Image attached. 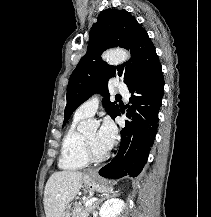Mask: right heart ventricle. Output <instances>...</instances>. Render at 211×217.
Wrapping results in <instances>:
<instances>
[{"label": "right heart ventricle", "instance_id": "1", "mask_svg": "<svg viewBox=\"0 0 211 217\" xmlns=\"http://www.w3.org/2000/svg\"><path fill=\"white\" fill-rule=\"evenodd\" d=\"M83 119L75 115L62 139L58 165L63 170H79L89 163L83 151V134L78 129Z\"/></svg>", "mask_w": 211, "mask_h": 217}]
</instances>
